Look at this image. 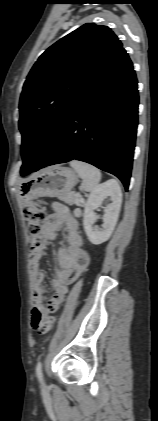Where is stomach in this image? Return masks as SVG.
Instances as JSON below:
<instances>
[{
    "label": "stomach",
    "mask_w": 158,
    "mask_h": 421,
    "mask_svg": "<svg viewBox=\"0 0 158 421\" xmlns=\"http://www.w3.org/2000/svg\"><path fill=\"white\" fill-rule=\"evenodd\" d=\"M78 176L70 168L52 166L33 175L19 188L21 198L30 202L38 197H61L68 194L77 184Z\"/></svg>",
    "instance_id": "0dacf381"
}]
</instances>
